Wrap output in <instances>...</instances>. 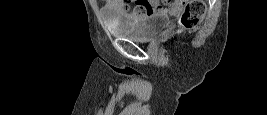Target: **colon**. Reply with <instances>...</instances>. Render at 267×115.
I'll use <instances>...</instances> for the list:
<instances>
[{"mask_svg":"<svg viewBox=\"0 0 267 115\" xmlns=\"http://www.w3.org/2000/svg\"><path fill=\"white\" fill-rule=\"evenodd\" d=\"M154 8L151 5L139 3L136 7V12L141 13H153ZM205 11V4L201 1H188L185 3L181 12V23L188 28L195 27L200 21Z\"/></svg>","mask_w":267,"mask_h":115,"instance_id":"colon-1","label":"colon"}]
</instances>
